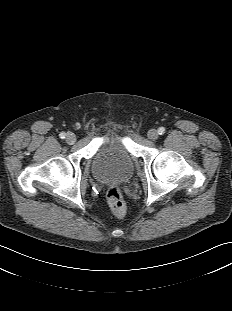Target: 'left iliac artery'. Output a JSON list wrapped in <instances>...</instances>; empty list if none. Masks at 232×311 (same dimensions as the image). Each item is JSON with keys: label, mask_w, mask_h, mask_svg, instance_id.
Returning <instances> with one entry per match:
<instances>
[{"label": "left iliac artery", "mask_w": 232, "mask_h": 311, "mask_svg": "<svg viewBox=\"0 0 232 311\" xmlns=\"http://www.w3.org/2000/svg\"><path fill=\"white\" fill-rule=\"evenodd\" d=\"M158 133H159L160 135L164 134V133H165V128H164V127H160V128L158 129Z\"/></svg>", "instance_id": "obj_1"}]
</instances>
